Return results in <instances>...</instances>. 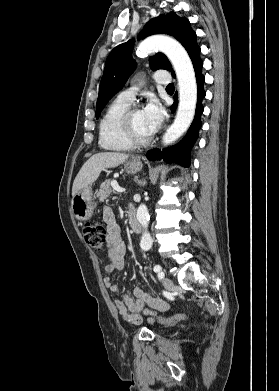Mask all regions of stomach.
Masks as SVG:
<instances>
[{
  "instance_id": "1",
  "label": "stomach",
  "mask_w": 279,
  "mask_h": 391,
  "mask_svg": "<svg viewBox=\"0 0 279 391\" xmlns=\"http://www.w3.org/2000/svg\"><path fill=\"white\" fill-rule=\"evenodd\" d=\"M142 166V162L138 157H133L124 163V169L129 174L139 172ZM96 206L97 203L90 186L80 190L71 201L72 213L78 221L89 220Z\"/></svg>"
}]
</instances>
